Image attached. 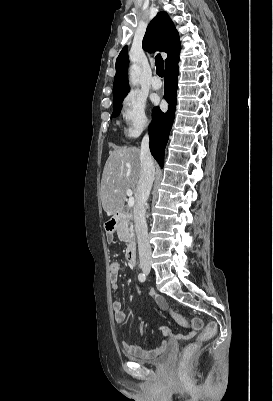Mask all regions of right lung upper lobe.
<instances>
[{
	"label": "right lung upper lobe",
	"mask_w": 273,
	"mask_h": 401,
	"mask_svg": "<svg viewBox=\"0 0 273 401\" xmlns=\"http://www.w3.org/2000/svg\"><path fill=\"white\" fill-rule=\"evenodd\" d=\"M143 49L149 52L156 50L168 54L165 66L179 61L180 42L175 26L166 12H159L148 25L142 42ZM129 57L127 46L120 52L116 60V74L113 85V108L121 105L129 92L127 69Z\"/></svg>",
	"instance_id": "1"
}]
</instances>
